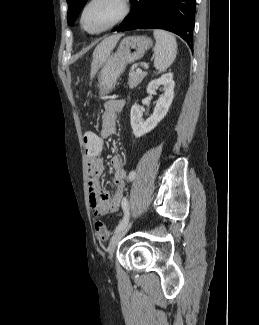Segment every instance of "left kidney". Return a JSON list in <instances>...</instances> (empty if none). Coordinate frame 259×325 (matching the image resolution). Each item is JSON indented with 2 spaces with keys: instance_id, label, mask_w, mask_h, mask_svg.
Listing matches in <instances>:
<instances>
[{
  "instance_id": "left-kidney-1",
  "label": "left kidney",
  "mask_w": 259,
  "mask_h": 325,
  "mask_svg": "<svg viewBox=\"0 0 259 325\" xmlns=\"http://www.w3.org/2000/svg\"><path fill=\"white\" fill-rule=\"evenodd\" d=\"M163 86V95L156 101L153 114L144 121L143 113L137 104H134L130 112V122L135 137L139 138L152 131L158 123L166 116L174 97L173 74L166 73L160 78L153 80L147 87V93L153 95L156 90Z\"/></svg>"
}]
</instances>
